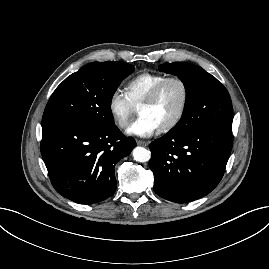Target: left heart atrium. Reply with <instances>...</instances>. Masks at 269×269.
<instances>
[{
	"label": "left heart atrium",
	"instance_id": "obj_1",
	"mask_svg": "<svg viewBox=\"0 0 269 269\" xmlns=\"http://www.w3.org/2000/svg\"><path fill=\"white\" fill-rule=\"evenodd\" d=\"M160 129L158 123L151 117L140 115L126 130L129 135L138 137H149Z\"/></svg>",
	"mask_w": 269,
	"mask_h": 269
}]
</instances>
